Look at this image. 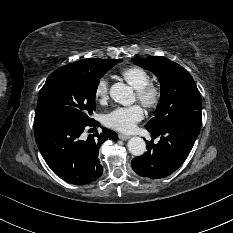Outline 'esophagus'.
Instances as JSON below:
<instances>
[{
    "instance_id": "34e87169",
    "label": "esophagus",
    "mask_w": 233,
    "mask_h": 233,
    "mask_svg": "<svg viewBox=\"0 0 233 233\" xmlns=\"http://www.w3.org/2000/svg\"><path fill=\"white\" fill-rule=\"evenodd\" d=\"M119 139H121V140L125 141V140L130 139V136H128V135H124V134H119Z\"/></svg>"
}]
</instances>
